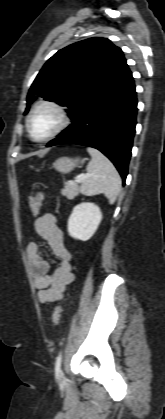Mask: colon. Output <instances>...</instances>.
<instances>
[{
	"label": "colon",
	"instance_id": "colon-1",
	"mask_svg": "<svg viewBox=\"0 0 165 419\" xmlns=\"http://www.w3.org/2000/svg\"><path fill=\"white\" fill-rule=\"evenodd\" d=\"M44 194L41 192L35 193L29 197V207L32 215L37 216L40 213ZM62 308L57 306L54 308L52 313V322L54 325H58L61 319Z\"/></svg>",
	"mask_w": 165,
	"mask_h": 419
}]
</instances>
